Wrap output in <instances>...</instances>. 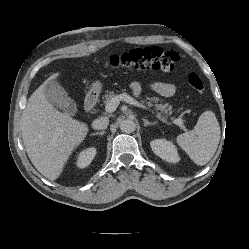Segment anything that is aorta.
Returning a JSON list of instances; mask_svg holds the SVG:
<instances>
[{"instance_id":"aorta-1","label":"aorta","mask_w":249,"mask_h":249,"mask_svg":"<svg viewBox=\"0 0 249 249\" xmlns=\"http://www.w3.org/2000/svg\"><path fill=\"white\" fill-rule=\"evenodd\" d=\"M120 129L124 133H132L136 130V124L132 119H125L121 121Z\"/></svg>"}]
</instances>
